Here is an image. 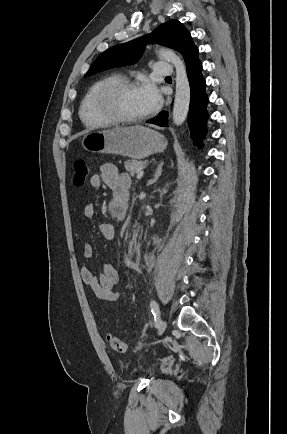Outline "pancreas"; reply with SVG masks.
<instances>
[{"instance_id":"obj_1","label":"pancreas","mask_w":287,"mask_h":434,"mask_svg":"<svg viewBox=\"0 0 287 434\" xmlns=\"http://www.w3.org/2000/svg\"><path fill=\"white\" fill-rule=\"evenodd\" d=\"M144 167V163L136 160H129L125 162V169L130 175L134 176L137 171Z\"/></svg>"}]
</instances>
